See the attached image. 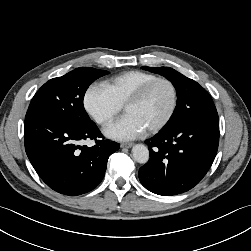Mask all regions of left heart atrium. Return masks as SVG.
<instances>
[{
    "label": "left heart atrium",
    "mask_w": 251,
    "mask_h": 251,
    "mask_svg": "<svg viewBox=\"0 0 251 251\" xmlns=\"http://www.w3.org/2000/svg\"><path fill=\"white\" fill-rule=\"evenodd\" d=\"M145 132L142 124L133 116L126 114L105 130L108 138L120 141L135 139Z\"/></svg>",
    "instance_id": "obj_1"
}]
</instances>
